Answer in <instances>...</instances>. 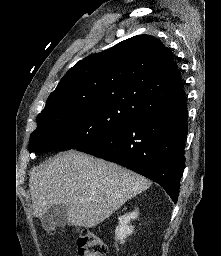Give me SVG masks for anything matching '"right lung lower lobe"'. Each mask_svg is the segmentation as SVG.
I'll return each mask as SVG.
<instances>
[{
  "label": "right lung lower lobe",
  "instance_id": "1",
  "mask_svg": "<svg viewBox=\"0 0 221 256\" xmlns=\"http://www.w3.org/2000/svg\"><path fill=\"white\" fill-rule=\"evenodd\" d=\"M186 101L138 116L79 148L159 183L177 202L188 132Z\"/></svg>",
  "mask_w": 221,
  "mask_h": 256
}]
</instances>
